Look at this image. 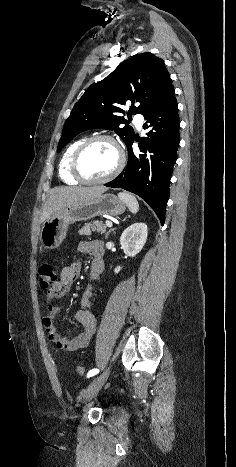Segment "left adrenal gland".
<instances>
[{
    "mask_svg": "<svg viewBox=\"0 0 236 467\" xmlns=\"http://www.w3.org/2000/svg\"><path fill=\"white\" fill-rule=\"evenodd\" d=\"M126 220V219H125ZM116 228H113V229H110L107 233H106V236H105V239L108 238L109 234L114 231Z\"/></svg>",
    "mask_w": 236,
    "mask_h": 467,
    "instance_id": "a2214340",
    "label": "left adrenal gland"
}]
</instances>
